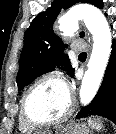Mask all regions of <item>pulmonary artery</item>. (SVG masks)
<instances>
[{
  "label": "pulmonary artery",
  "instance_id": "1",
  "mask_svg": "<svg viewBox=\"0 0 116 134\" xmlns=\"http://www.w3.org/2000/svg\"><path fill=\"white\" fill-rule=\"evenodd\" d=\"M86 49V43L82 40H75L71 44V51L74 53L83 52Z\"/></svg>",
  "mask_w": 116,
  "mask_h": 134
}]
</instances>
